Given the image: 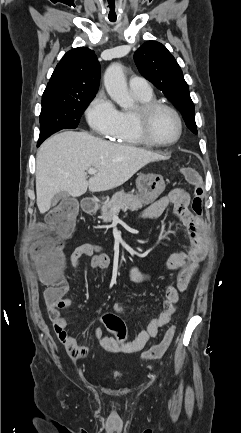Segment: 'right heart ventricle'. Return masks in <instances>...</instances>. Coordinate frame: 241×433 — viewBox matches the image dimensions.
Here are the masks:
<instances>
[{
  "mask_svg": "<svg viewBox=\"0 0 241 433\" xmlns=\"http://www.w3.org/2000/svg\"><path fill=\"white\" fill-rule=\"evenodd\" d=\"M133 93L140 104L153 101L152 93L148 95ZM119 112V124L115 133L111 136V140L117 143L133 146L146 145L136 129L133 116L134 110H122Z\"/></svg>",
  "mask_w": 241,
  "mask_h": 433,
  "instance_id": "1",
  "label": "right heart ventricle"
}]
</instances>
